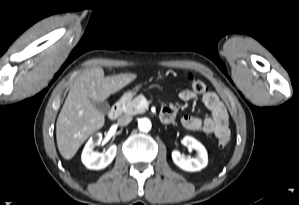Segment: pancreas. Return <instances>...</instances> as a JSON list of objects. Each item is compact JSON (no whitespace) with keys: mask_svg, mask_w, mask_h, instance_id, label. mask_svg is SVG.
Segmentation results:
<instances>
[{"mask_svg":"<svg viewBox=\"0 0 299 205\" xmlns=\"http://www.w3.org/2000/svg\"><path fill=\"white\" fill-rule=\"evenodd\" d=\"M144 95H138L132 100H128L122 107V111L126 115H136L141 114L146 111V108L140 107V103L145 100Z\"/></svg>","mask_w":299,"mask_h":205,"instance_id":"1","label":"pancreas"}]
</instances>
